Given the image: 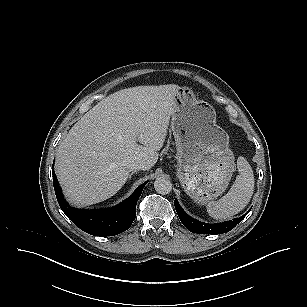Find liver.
Wrapping results in <instances>:
<instances>
[{
    "instance_id": "liver-1",
    "label": "liver",
    "mask_w": 307,
    "mask_h": 307,
    "mask_svg": "<svg viewBox=\"0 0 307 307\" xmlns=\"http://www.w3.org/2000/svg\"><path fill=\"white\" fill-rule=\"evenodd\" d=\"M179 89L175 84L122 89L74 124L55 162L70 203L92 205L115 195L129 177V161L143 162L144 170L156 164Z\"/></svg>"
}]
</instances>
